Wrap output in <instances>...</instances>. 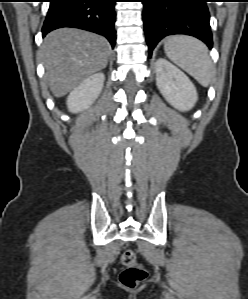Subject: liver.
I'll use <instances>...</instances> for the list:
<instances>
[{
	"instance_id": "liver-1",
	"label": "liver",
	"mask_w": 248,
	"mask_h": 299,
	"mask_svg": "<svg viewBox=\"0 0 248 299\" xmlns=\"http://www.w3.org/2000/svg\"><path fill=\"white\" fill-rule=\"evenodd\" d=\"M111 54L109 42L87 31L61 28L42 45L45 79L55 97H62L93 73L104 69Z\"/></svg>"
}]
</instances>
